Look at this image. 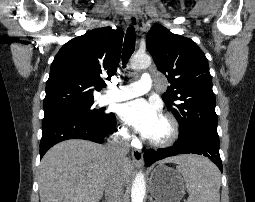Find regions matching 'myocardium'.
<instances>
[{
    "instance_id": "obj_1",
    "label": "myocardium",
    "mask_w": 255,
    "mask_h": 202,
    "mask_svg": "<svg viewBox=\"0 0 255 202\" xmlns=\"http://www.w3.org/2000/svg\"><path fill=\"white\" fill-rule=\"evenodd\" d=\"M161 118L168 125V134L161 139L147 138V142L151 146L158 147V148L168 147L174 144L178 140V137L180 134L179 123L173 115L166 113L161 115Z\"/></svg>"
}]
</instances>
